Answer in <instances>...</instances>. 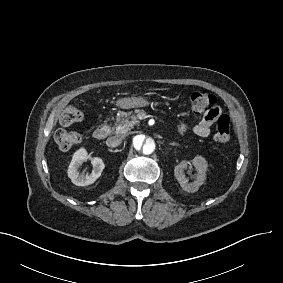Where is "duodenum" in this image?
I'll return each mask as SVG.
<instances>
[{
	"mask_svg": "<svg viewBox=\"0 0 283 283\" xmlns=\"http://www.w3.org/2000/svg\"><path fill=\"white\" fill-rule=\"evenodd\" d=\"M109 132V126L102 125L94 130L93 136L96 140H104L109 135Z\"/></svg>",
	"mask_w": 283,
	"mask_h": 283,
	"instance_id": "1",
	"label": "duodenum"
}]
</instances>
